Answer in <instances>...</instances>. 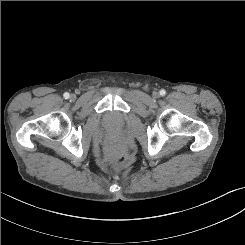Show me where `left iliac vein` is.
Instances as JSON below:
<instances>
[{
	"label": "left iliac vein",
	"instance_id": "4c4485c4",
	"mask_svg": "<svg viewBox=\"0 0 245 245\" xmlns=\"http://www.w3.org/2000/svg\"><path fill=\"white\" fill-rule=\"evenodd\" d=\"M153 96H154V97H157V96H158V93H156V92L153 93Z\"/></svg>",
	"mask_w": 245,
	"mask_h": 245
}]
</instances>
